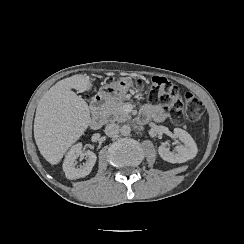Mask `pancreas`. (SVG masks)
Listing matches in <instances>:
<instances>
[{
    "instance_id": "1",
    "label": "pancreas",
    "mask_w": 244,
    "mask_h": 244,
    "mask_svg": "<svg viewBox=\"0 0 244 244\" xmlns=\"http://www.w3.org/2000/svg\"><path fill=\"white\" fill-rule=\"evenodd\" d=\"M126 99L127 98L123 97L121 99L108 102L103 108V116L120 123L130 120L132 118L131 115L123 109L124 100Z\"/></svg>"
}]
</instances>
